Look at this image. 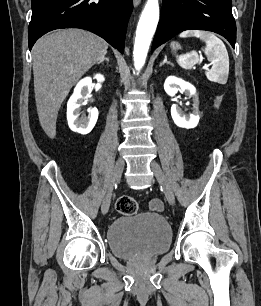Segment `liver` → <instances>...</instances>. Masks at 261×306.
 <instances>
[{"mask_svg": "<svg viewBox=\"0 0 261 306\" xmlns=\"http://www.w3.org/2000/svg\"><path fill=\"white\" fill-rule=\"evenodd\" d=\"M108 44L82 29H64L41 37L32 49L34 92L40 125L56 135V120L72 86L104 58Z\"/></svg>", "mask_w": 261, "mask_h": 306, "instance_id": "1", "label": "liver"}]
</instances>
